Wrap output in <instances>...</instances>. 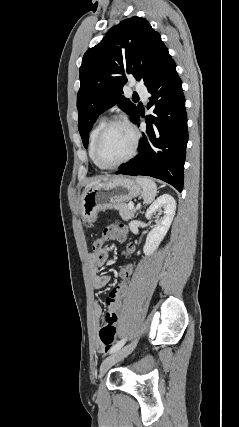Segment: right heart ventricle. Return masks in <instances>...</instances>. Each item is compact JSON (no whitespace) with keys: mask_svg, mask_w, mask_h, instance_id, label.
I'll list each match as a JSON object with an SVG mask.
<instances>
[{"mask_svg":"<svg viewBox=\"0 0 239 427\" xmlns=\"http://www.w3.org/2000/svg\"><path fill=\"white\" fill-rule=\"evenodd\" d=\"M105 123H106L105 119H100L98 121V123L93 127V129L91 130L90 135H89V156H90L91 160L93 161V163L99 169H102V168H100L96 164V162L94 161V158H93V147H94V143H95L96 137H97L99 131L101 130V128L104 126Z\"/></svg>","mask_w":239,"mask_h":427,"instance_id":"e07e8e85","label":"right heart ventricle"}]
</instances>
